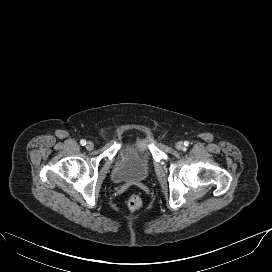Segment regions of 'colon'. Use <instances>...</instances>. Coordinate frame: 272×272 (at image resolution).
I'll list each match as a JSON object with an SVG mask.
<instances>
[{
  "label": "colon",
  "mask_w": 272,
  "mask_h": 272,
  "mask_svg": "<svg viewBox=\"0 0 272 272\" xmlns=\"http://www.w3.org/2000/svg\"><path fill=\"white\" fill-rule=\"evenodd\" d=\"M127 206L130 210H138L142 207V199L138 195H131L127 200Z\"/></svg>",
  "instance_id": "colon-1"
}]
</instances>
